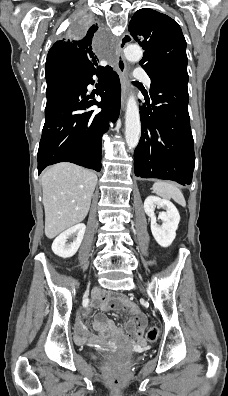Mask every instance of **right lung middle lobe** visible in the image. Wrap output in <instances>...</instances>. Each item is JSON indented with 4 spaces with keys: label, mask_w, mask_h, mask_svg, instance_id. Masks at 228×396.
Masks as SVG:
<instances>
[{
    "label": "right lung middle lobe",
    "mask_w": 228,
    "mask_h": 396,
    "mask_svg": "<svg viewBox=\"0 0 228 396\" xmlns=\"http://www.w3.org/2000/svg\"><path fill=\"white\" fill-rule=\"evenodd\" d=\"M90 24V19L85 16L81 15L75 19L72 25V33L75 35H79L83 33ZM94 26V25H93ZM75 73L69 70L63 71H55L46 73V81H47V89H46V96L47 98L51 97L57 90L61 87L65 86L69 83Z\"/></svg>",
    "instance_id": "1"
}]
</instances>
